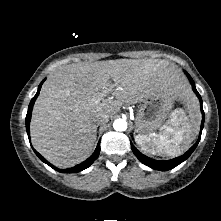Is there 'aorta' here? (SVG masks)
<instances>
[{"instance_id":"762f6f07","label":"aorta","mask_w":221,"mask_h":221,"mask_svg":"<svg viewBox=\"0 0 221 221\" xmlns=\"http://www.w3.org/2000/svg\"><path fill=\"white\" fill-rule=\"evenodd\" d=\"M113 128L116 131H125L127 129V122L124 119H116L113 123Z\"/></svg>"}]
</instances>
